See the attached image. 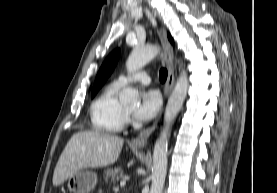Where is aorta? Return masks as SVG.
Instances as JSON below:
<instances>
[{"instance_id": "aorta-1", "label": "aorta", "mask_w": 277, "mask_h": 193, "mask_svg": "<svg viewBox=\"0 0 277 193\" xmlns=\"http://www.w3.org/2000/svg\"><path fill=\"white\" fill-rule=\"evenodd\" d=\"M160 49L158 46L149 45L146 47H135L126 61V68L128 73H133L149 61H151ZM188 76L183 71L175 84V87L168 99L165 114L164 126L157 139L153 152V167H152V185L150 193H162L167 173V149L169 131L172 122L179 113L188 91ZM138 100V93L132 88H125L120 94V101L122 103L136 104Z\"/></svg>"}]
</instances>
